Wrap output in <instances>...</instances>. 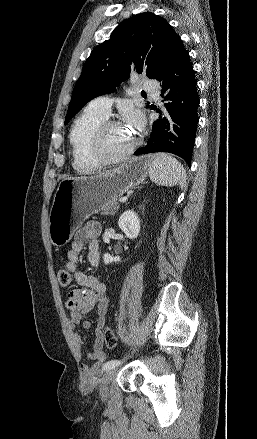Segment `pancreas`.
Masks as SVG:
<instances>
[{"label":"pancreas","mask_w":257,"mask_h":439,"mask_svg":"<svg viewBox=\"0 0 257 439\" xmlns=\"http://www.w3.org/2000/svg\"><path fill=\"white\" fill-rule=\"evenodd\" d=\"M119 209V204L116 202V200H112L104 205H102L99 209L101 214L103 215H113L116 213V211Z\"/></svg>","instance_id":"obj_1"}]
</instances>
